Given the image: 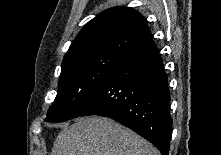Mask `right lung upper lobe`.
Returning a JSON list of instances; mask_svg holds the SVG:
<instances>
[{"label": "right lung upper lobe", "instance_id": "cb5924a9", "mask_svg": "<svg viewBox=\"0 0 221 155\" xmlns=\"http://www.w3.org/2000/svg\"><path fill=\"white\" fill-rule=\"evenodd\" d=\"M151 38V31L140 13L128 7L110 8L79 32L68 52L62 69L75 60L102 53L126 55L138 44Z\"/></svg>", "mask_w": 221, "mask_h": 155}]
</instances>
